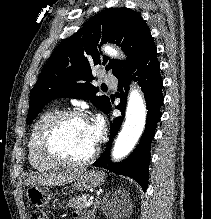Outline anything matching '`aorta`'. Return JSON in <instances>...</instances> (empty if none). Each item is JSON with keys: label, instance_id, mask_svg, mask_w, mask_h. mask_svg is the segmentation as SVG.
<instances>
[{"label": "aorta", "instance_id": "aorta-1", "mask_svg": "<svg viewBox=\"0 0 211 219\" xmlns=\"http://www.w3.org/2000/svg\"><path fill=\"white\" fill-rule=\"evenodd\" d=\"M107 55L118 56V52L110 46H105ZM146 123V107L138 90H132L127 104L123 128L119 133L112 157L119 160L128 155L139 140Z\"/></svg>", "mask_w": 211, "mask_h": 219}]
</instances>
